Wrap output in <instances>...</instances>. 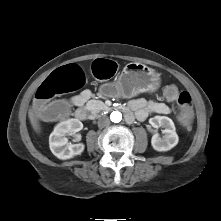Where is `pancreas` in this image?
I'll return each instance as SVG.
<instances>
[{"label": "pancreas", "mask_w": 221, "mask_h": 221, "mask_svg": "<svg viewBox=\"0 0 221 221\" xmlns=\"http://www.w3.org/2000/svg\"><path fill=\"white\" fill-rule=\"evenodd\" d=\"M87 107L93 112V113H99L103 110L107 109V106L104 102L100 100H90L87 103Z\"/></svg>", "instance_id": "obj_1"}]
</instances>
